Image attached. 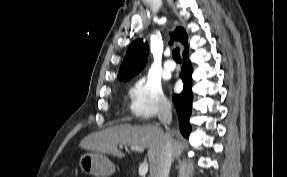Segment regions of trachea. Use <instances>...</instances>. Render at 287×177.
Returning <instances> with one entry per match:
<instances>
[{"label":"trachea","instance_id":"1","mask_svg":"<svg viewBox=\"0 0 287 177\" xmlns=\"http://www.w3.org/2000/svg\"><path fill=\"white\" fill-rule=\"evenodd\" d=\"M172 57L175 61H182L179 48H176L172 51Z\"/></svg>","mask_w":287,"mask_h":177}]
</instances>
